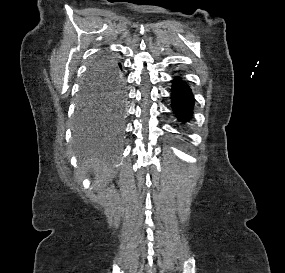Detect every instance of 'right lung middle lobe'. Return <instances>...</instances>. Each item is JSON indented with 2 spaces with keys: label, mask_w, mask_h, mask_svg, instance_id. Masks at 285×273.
Returning <instances> with one entry per match:
<instances>
[{
  "label": "right lung middle lobe",
  "mask_w": 285,
  "mask_h": 273,
  "mask_svg": "<svg viewBox=\"0 0 285 273\" xmlns=\"http://www.w3.org/2000/svg\"><path fill=\"white\" fill-rule=\"evenodd\" d=\"M123 84L117 73V63L104 54L98 55L87 70L80 87L77 109V128L87 130L92 114L100 107L107 96H120ZM115 115L120 118L121 109L115 108Z\"/></svg>",
  "instance_id": "1"
}]
</instances>
